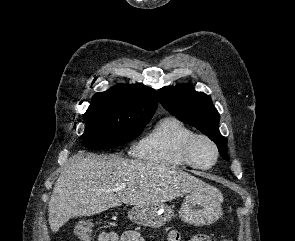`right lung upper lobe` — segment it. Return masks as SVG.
<instances>
[{"instance_id": "1", "label": "right lung upper lobe", "mask_w": 295, "mask_h": 241, "mask_svg": "<svg viewBox=\"0 0 295 241\" xmlns=\"http://www.w3.org/2000/svg\"><path fill=\"white\" fill-rule=\"evenodd\" d=\"M95 95L110 97L128 106L153 114L158 103L155 90L137 84L117 85L106 92L96 93Z\"/></svg>"}]
</instances>
